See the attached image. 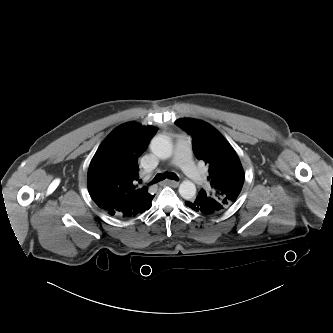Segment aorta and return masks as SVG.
I'll list each match as a JSON object with an SVG mask.
<instances>
[{
    "label": "aorta",
    "instance_id": "1",
    "mask_svg": "<svg viewBox=\"0 0 333 333\" xmlns=\"http://www.w3.org/2000/svg\"><path fill=\"white\" fill-rule=\"evenodd\" d=\"M151 151L161 159H167L171 157L173 152V146L170 139L165 135L155 136L150 143ZM180 195L189 200L196 194V186L190 180L183 181L179 186Z\"/></svg>",
    "mask_w": 333,
    "mask_h": 333
}]
</instances>
